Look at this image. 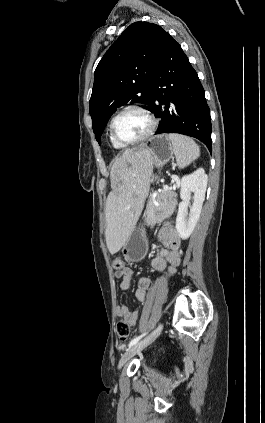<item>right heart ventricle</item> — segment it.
<instances>
[{"instance_id":"obj_1","label":"right heart ventricle","mask_w":265,"mask_h":423,"mask_svg":"<svg viewBox=\"0 0 265 423\" xmlns=\"http://www.w3.org/2000/svg\"><path fill=\"white\" fill-rule=\"evenodd\" d=\"M110 143H111V145H112L115 149L120 150V149L125 148V146L120 145L119 143L115 142V141L111 138V136H110Z\"/></svg>"}]
</instances>
